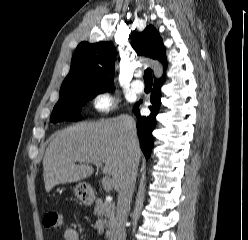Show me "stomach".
<instances>
[{"label": "stomach", "instance_id": "obj_1", "mask_svg": "<svg viewBox=\"0 0 248 240\" xmlns=\"http://www.w3.org/2000/svg\"><path fill=\"white\" fill-rule=\"evenodd\" d=\"M76 197L83 203H90L93 199L91 187L83 182H80L74 188Z\"/></svg>", "mask_w": 248, "mask_h": 240}]
</instances>
